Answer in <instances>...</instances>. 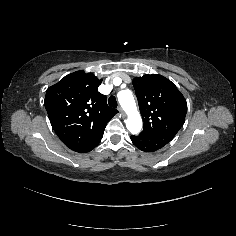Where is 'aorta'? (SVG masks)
<instances>
[{
    "mask_svg": "<svg viewBox=\"0 0 236 236\" xmlns=\"http://www.w3.org/2000/svg\"><path fill=\"white\" fill-rule=\"evenodd\" d=\"M117 100L121 107L128 113L126 128L132 135H137L142 130V119L136 111V104L133 93L130 89L119 90Z\"/></svg>",
    "mask_w": 236,
    "mask_h": 236,
    "instance_id": "762f6f07",
    "label": "aorta"
}]
</instances>
